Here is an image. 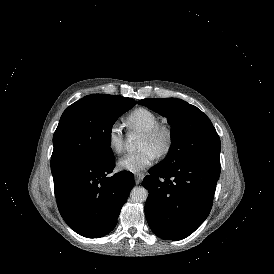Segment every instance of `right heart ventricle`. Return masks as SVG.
I'll use <instances>...</instances> for the list:
<instances>
[{
  "instance_id": "right-heart-ventricle-1",
  "label": "right heart ventricle",
  "mask_w": 274,
  "mask_h": 274,
  "mask_svg": "<svg viewBox=\"0 0 274 274\" xmlns=\"http://www.w3.org/2000/svg\"><path fill=\"white\" fill-rule=\"evenodd\" d=\"M130 126L140 129L142 132L149 131L159 125L157 116L147 110H138L127 117Z\"/></svg>"
}]
</instances>
